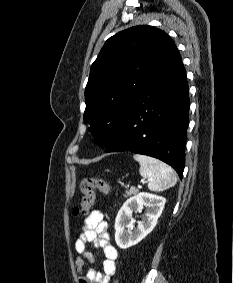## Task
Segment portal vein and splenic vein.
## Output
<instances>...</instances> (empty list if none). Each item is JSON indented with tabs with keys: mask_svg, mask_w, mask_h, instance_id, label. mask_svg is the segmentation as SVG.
I'll list each match as a JSON object with an SVG mask.
<instances>
[{
	"mask_svg": "<svg viewBox=\"0 0 233 283\" xmlns=\"http://www.w3.org/2000/svg\"><path fill=\"white\" fill-rule=\"evenodd\" d=\"M142 183H143V184H145V183H146V181H143ZM138 187H139V188H141V184H139V185H138Z\"/></svg>",
	"mask_w": 233,
	"mask_h": 283,
	"instance_id": "18ae733b",
	"label": "portal vein and splenic vein"
}]
</instances>
